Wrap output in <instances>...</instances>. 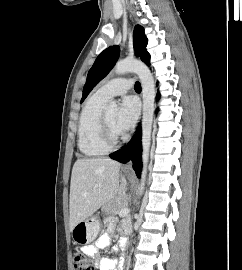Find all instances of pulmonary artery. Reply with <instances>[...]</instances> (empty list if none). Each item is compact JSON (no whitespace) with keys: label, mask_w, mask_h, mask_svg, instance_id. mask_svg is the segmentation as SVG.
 <instances>
[{"label":"pulmonary artery","mask_w":242,"mask_h":270,"mask_svg":"<svg viewBox=\"0 0 242 270\" xmlns=\"http://www.w3.org/2000/svg\"><path fill=\"white\" fill-rule=\"evenodd\" d=\"M133 86L132 79H112L102 85L95 95L103 100H109L114 96L124 95Z\"/></svg>","instance_id":"1"}]
</instances>
